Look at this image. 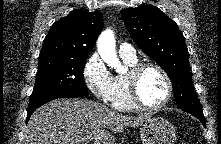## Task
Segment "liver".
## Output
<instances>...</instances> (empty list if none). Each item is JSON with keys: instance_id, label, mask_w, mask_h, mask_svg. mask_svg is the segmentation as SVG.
I'll return each instance as SVG.
<instances>
[{"instance_id": "obj_1", "label": "liver", "mask_w": 221, "mask_h": 144, "mask_svg": "<svg viewBox=\"0 0 221 144\" xmlns=\"http://www.w3.org/2000/svg\"><path fill=\"white\" fill-rule=\"evenodd\" d=\"M149 115H122L84 99H57L38 108L24 130L25 144H114V133L142 126Z\"/></svg>"}]
</instances>
